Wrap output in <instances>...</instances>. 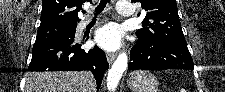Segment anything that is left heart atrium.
<instances>
[{"instance_id":"1","label":"left heart atrium","mask_w":225,"mask_h":92,"mask_svg":"<svg viewBox=\"0 0 225 92\" xmlns=\"http://www.w3.org/2000/svg\"><path fill=\"white\" fill-rule=\"evenodd\" d=\"M123 37L119 26L108 23L101 27L95 35V41L106 50L117 49L122 43Z\"/></svg>"}]
</instances>
